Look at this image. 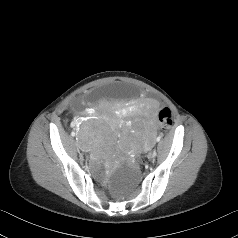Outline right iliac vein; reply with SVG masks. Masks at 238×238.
<instances>
[{"instance_id":"obj_1","label":"right iliac vein","mask_w":238,"mask_h":238,"mask_svg":"<svg viewBox=\"0 0 238 238\" xmlns=\"http://www.w3.org/2000/svg\"><path fill=\"white\" fill-rule=\"evenodd\" d=\"M77 155H81L79 147H76Z\"/></svg>"}]
</instances>
